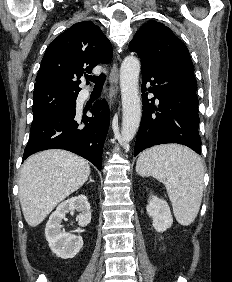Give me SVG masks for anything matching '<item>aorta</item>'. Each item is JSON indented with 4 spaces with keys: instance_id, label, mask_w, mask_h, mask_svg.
<instances>
[{
    "instance_id": "1",
    "label": "aorta",
    "mask_w": 232,
    "mask_h": 282,
    "mask_svg": "<svg viewBox=\"0 0 232 282\" xmlns=\"http://www.w3.org/2000/svg\"><path fill=\"white\" fill-rule=\"evenodd\" d=\"M140 61L133 55L125 57L120 69V87L122 98V128L123 142L131 141L140 125L141 101L139 96Z\"/></svg>"
}]
</instances>
